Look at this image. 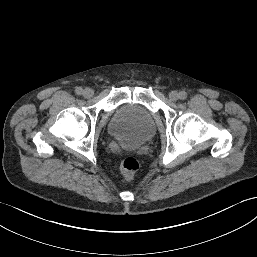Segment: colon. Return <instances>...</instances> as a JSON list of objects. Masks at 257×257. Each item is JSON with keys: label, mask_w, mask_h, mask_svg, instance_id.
Listing matches in <instances>:
<instances>
[{"label": "colon", "mask_w": 257, "mask_h": 257, "mask_svg": "<svg viewBox=\"0 0 257 257\" xmlns=\"http://www.w3.org/2000/svg\"><path fill=\"white\" fill-rule=\"evenodd\" d=\"M138 169L139 164L137 160L132 157L125 158L120 163V171L128 180L134 177Z\"/></svg>", "instance_id": "colon-1"}]
</instances>
